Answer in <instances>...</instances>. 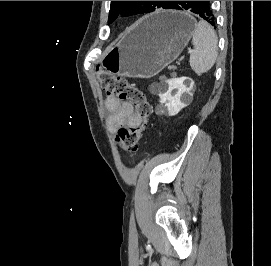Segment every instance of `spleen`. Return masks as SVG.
<instances>
[{"instance_id":"3e777b00","label":"spleen","mask_w":271,"mask_h":266,"mask_svg":"<svg viewBox=\"0 0 271 266\" xmlns=\"http://www.w3.org/2000/svg\"><path fill=\"white\" fill-rule=\"evenodd\" d=\"M192 44L194 50L190 55V66L196 74H204L214 66L218 56L217 35L206 21L201 20L195 24Z\"/></svg>"}]
</instances>
